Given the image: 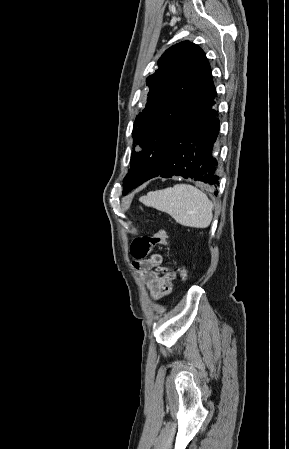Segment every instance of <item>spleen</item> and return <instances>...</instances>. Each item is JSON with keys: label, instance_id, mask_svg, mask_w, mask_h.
Here are the masks:
<instances>
[{"label": "spleen", "instance_id": "1", "mask_svg": "<svg viewBox=\"0 0 289 449\" xmlns=\"http://www.w3.org/2000/svg\"><path fill=\"white\" fill-rule=\"evenodd\" d=\"M140 201L169 214L187 227L207 228L213 216V204L205 193L189 184H176L162 190L149 192Z\"/></svg>", "mask_w": 289, "mask_h": 449}]
</instances>
